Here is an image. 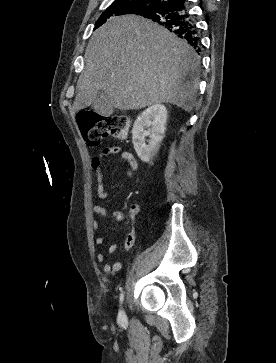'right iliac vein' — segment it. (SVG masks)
I'll use <instances>...</instances> for the list:
<instances>
[{"label":"right iliac vein","mask_w":276,"mask_h":363,"mask_svg":"<svg viewBox=\"0 0 276 363\" xmlns=\"http://www.w3.org/2000/svg\"><path fill=\"white\" fill-rule=\"evenodd\" d=\"M118 317H119V319H124V318H125V312H124V310H123V309H121V310L119 311V315H118Z\"/></svg>","instance_id":"63e3f726"}]
</instances>
